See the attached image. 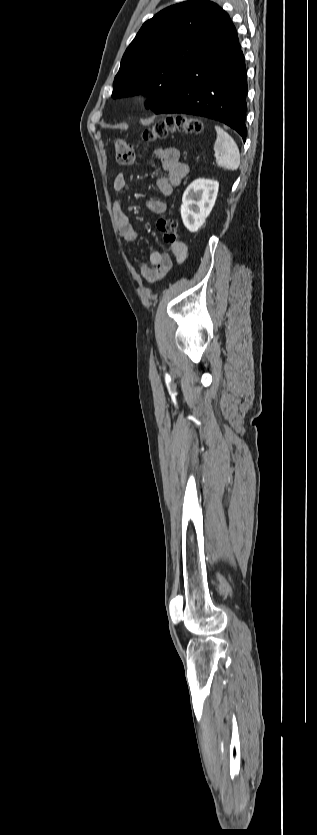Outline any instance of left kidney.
Listing matches in <instances>:
<instances>
[{"mask_svg":"<svg viewBox=\"0 0 317 835\" xmlns=\"http://www.w3.org/2000/svg\"><path fill=\"white\" fill-rule=\"evenodd\" d=\"M219 183L215 180H194L182 197L181 217L185 227L196 232L210 215L218 194Z\"/></svg>","mask_w":317,"mask_h":835,"instance_id":"obj_1","label":"left kidney"}]
</instances>
